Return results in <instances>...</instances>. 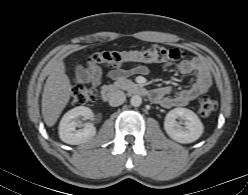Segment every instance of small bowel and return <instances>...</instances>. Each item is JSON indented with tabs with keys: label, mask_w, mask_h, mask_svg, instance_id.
<instances>
[{
	"label": "small bowel",
	"mask_w": 248,
	"mask_h": 195,
	"mask_svg": "<svg viewBox=\"0 0 248 195\" xmlns=\"http://www.w3.org/2000/svg\"><path fill=\"white\" fill-rule=\"evenodd\" d=\"M166 64L164 68H168ZM178 70L181 74H195V81L187 88L174 89L172 87H162L151 91V97L154 101L165 108L182 107L195 100L200 95L209 90L212 85V79L209 69L205 62L197 57H189L178 64ZM147 68L142 65H135L129 68H120L111 70L108 73L110 79H118L129 74H145ZM101 77V71L94 65L79 67L76 78L80 83L98 82Z\"/></svg>",
	"instance_id": "obj_1"
}]
</instances>
